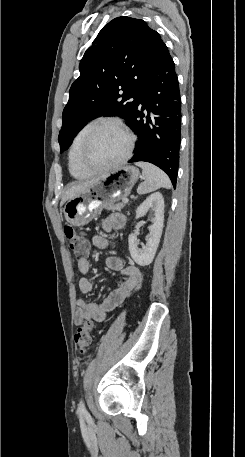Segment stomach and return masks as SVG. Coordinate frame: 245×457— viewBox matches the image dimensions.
<instances>
[{"instance_id":"stomach-1","label":"stomach","mask_w":245,"mask_h":457,"mask_svg":"<svg viewBox=\"0 0 245 457\" xmlns=\"http://www.w3.org/2000/svg\"><path fill=\"white\" fill-rule=\"evenodd\" d=\"M136 166H119L104 174L103 178L68 198L63 208L64 216L73 226L88 224L92 218L100 214L107 202H117L131 192L138 176Z\"/></svg>"}]
</instances>
